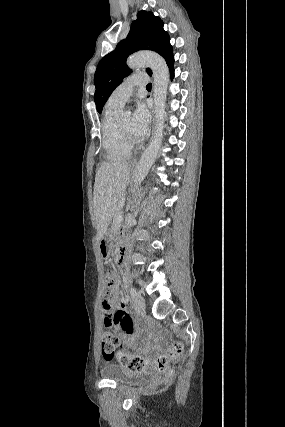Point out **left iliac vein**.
Returning a JSON list of instances; mask_svg holds the SVG:
<instances>
[{"instance_id": "4c4485c4", "label": "left iliac vein", "mask_w": 285, "mask_h": 427, "mask_svg": "<svg viewBox=\"0 0 285 427\" xmlns=\"http://www.w3.org/2000/svg\"><path fill=\"white\" fill-rule=\"evenodd\" d=\"M135 310L138 314H142L145 311V300L141 295H137L134 301Z\"/></svg>"}]
</instances>
